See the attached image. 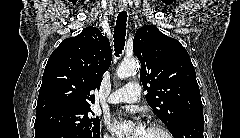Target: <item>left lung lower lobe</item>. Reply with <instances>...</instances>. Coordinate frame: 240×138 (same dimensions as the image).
I'll list each match as a JSON object with an SVG mask.
<instances>
[{"label":"left lung lower lobe","mask_w":240,"mask_h":138,"mask_svg":"<svg viewBox=\"0 0 240 138\" xmlns=\"http://www.w3.org/2000/svg\"><path fill=\"white\" fill-rule=\"evenodd\" d=\"M204 118L194 117L180 123L172 130L174 138H204Z\"/></svg>","instance_id":"1"}]
</instances>
